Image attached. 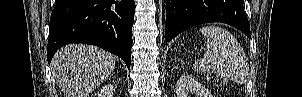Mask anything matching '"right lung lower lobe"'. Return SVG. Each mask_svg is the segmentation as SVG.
Returning a JSON list of instances; mask_svg holds the SVG:
<instances>
[{
	"label": "right lung lower lobe",
	"mask_w": 302,
	"mask_h": 97,
	"mask_svg": "<svg viewBox=\"0 0 302 97\" xmlns=\"http://www.w3.org/2000/svg\"><path fill=\"white\" fill-rule=\"evenodd\" d=\"M134 0H57L49 24L48 62L69 43L93 44L131 63Z\"/></svg>",
	"instance_id": "obj_1"
}]
</instances>
